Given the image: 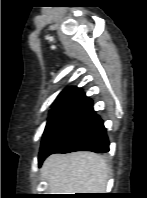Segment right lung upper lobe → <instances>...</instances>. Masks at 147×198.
<instances>
[{
    "label": "right lung upper lobe",
    "instance_id": "right-lung-upper-lobe-1",
    "mask_svg": "<svg viewBox=\"0 0 147 198\" xmlns=\"http://www.w3.org/2000/svg\"><path fill=\"white\" fill-rule=\"evenodd\" d=\"M87 97L80 88L72 87L62 92L52 107H76Z\"/></svg>",
    "mask_w": 147,
    "mask_h": 198
}]
</instances>
